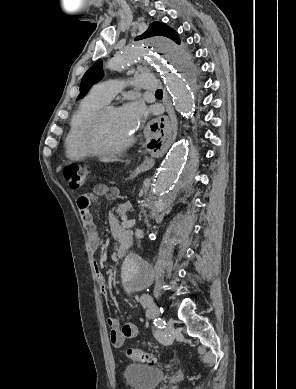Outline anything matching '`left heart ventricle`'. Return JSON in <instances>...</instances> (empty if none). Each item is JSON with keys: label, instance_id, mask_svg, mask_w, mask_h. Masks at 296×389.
<instances>
[{"label": "left heart ventricle", "instance_id": "left-heart-ventricle-1", "mask_svg": "<svg viewBox=\"0 0 296 389\" xmlns=\"http://www.w3.org/2000/svg\"><path fill=\"white\" fill-rule=\"evenodd\" d=\"M132 136L120 110L108 113L102 121L99 143L106 148L117 147Z\"/></svg>", "mask_w": 296, "mask_h": 389}]
</instances>
